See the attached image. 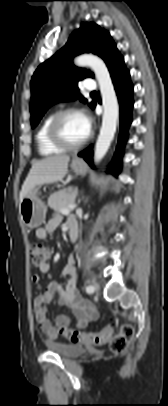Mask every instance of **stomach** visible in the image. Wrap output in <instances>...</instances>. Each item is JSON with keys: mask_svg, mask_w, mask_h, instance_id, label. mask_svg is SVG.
<instances>
[{"mask_svg": "<svg viewBox=\"0 0 168 406\" xmlns=\"http://www.w3.org/2000/svg\"><path fill=\"white\" fill-rule=\"evenodd\" d=\"M70 167L77 175H85L87 172L86 163L79 158H74ZM38 195L39 189L34 188L19 204L22 222L29 228H37L45 220L47 207Z\"/></svg>", "mask_w": 168, "mask_h": 406, "instance_id": "1", "label": "stomach"}]
</instances>
